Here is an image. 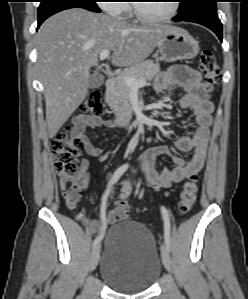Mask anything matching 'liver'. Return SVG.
I'll list each match as a JSON object with an SVG mask.
<instances>
[{
    "label": "liver",
    "mask_w": 248,
    "mask_h": 299,
    "mask_svg": "<svg viewBox=\"0 0 248 299\" xmlns=\"http://www.w3.org/2000/svg\"><path fill=\"white\" fill-rule=\"evenodd\" d=\"M169 28L131 25L83 8L67 9L48 18L36 35V44L49 138L87 96L90 68L98 64L103 50L113 51L114 66L136 65L153 52Z\"/></svg>",
    "instance_id": "liver-1"
}]
</instances>
